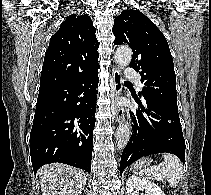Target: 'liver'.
Returning a JSON list of instances; mask_svg holds the SVG:
<instances>
[{
	"label": "liver",
	"mask_w": 211,
	"mask_h": 195,
	"mask_svg": "<svg viewBox=\"0 0 211 195\" xmlns=\"http://www.w3.org/2000/svg\"><path fill=\"white\" fill-rule=\"evenodd\" d=\"M42 195H81L86 174L72 166L52 163L38 170Z\"/></svg>",
	"instance_id": "obj_1"
}]
</instances>
